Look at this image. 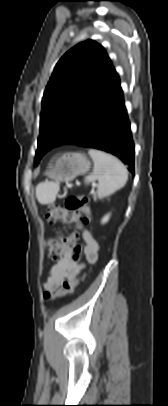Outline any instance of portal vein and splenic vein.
Segmentation results:
<instances>
[{
	"instance_id": "obj_1",
	"label": "portal vein and splenic vein",
	"mask_w": 168,
	"mask_h": 406,
	"mask_svg": "<svg viewBox=\"0 0 168 406\" xmlns=\"http://www.w3.org/2000/svg\"><path fill=\"white\" fill-rule=\"evenodd\" d=\"M92 187H96V184H92Z\"/></svg>"
}]
</instances>
